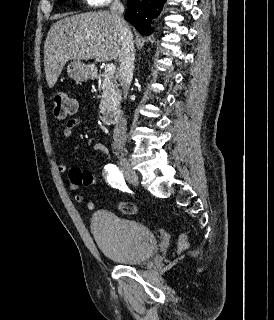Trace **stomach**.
<instances>
[{
    "instance_id": "obj_1",
    "label": "stomach",
    "mask_w": 274,
    "mask_h": 320,
    "mask_svg": "<svg viewBox=\"0 0 274 320\" xmlns=\"http://www.w3.org/2000/svg\"><path fill=\"white\" fill-rule=\"evenodd\" d=\"M71 72L73 78H76L78 82H83V80H88V78H91L92 76V70L91 66H85V64H82V62H72L71 64Z\"/></svg>"
}]
</instances>
